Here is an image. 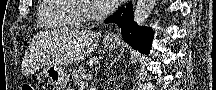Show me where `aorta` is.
Listing matches in <instances>:
<instances>
[{
    "label": "aorta",
    "instance_id": "1",
    "mask_svg": "<svg viewBox=\"0 0 216 90\" xmlns=\"http://www.w3.org/2000/svg\"><path fill=\"white\" fill-rule=\"evenodd\" d=\"M156 0H137L135 10L133 12V18L137 26H143L147 22Z\"/></svg>",
    "mask_w": 216,
    "mask_h": 90
}]
</instances>
